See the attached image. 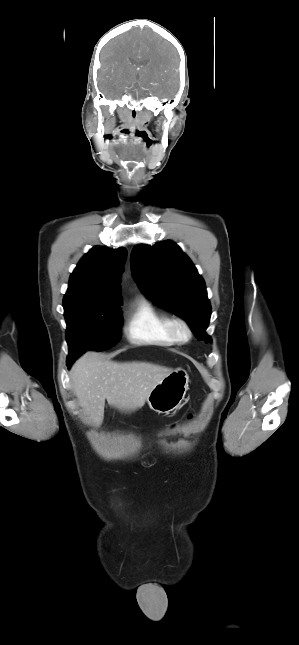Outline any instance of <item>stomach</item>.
Here are the masks:
<instances>
[{"instance_id": "1", "label": "stomach", "mask_w": 299, "mask_h": 645, "mask_svg": "<svg viewBox=\"0 0 299 645\" xmlns=\"http://www.w3.org/2000/svg\"><path fill=\"white\" fill-rule=\"evenodd\" d=\"M188 383L189 375L184 369L173 370L151 390L146 399L149 407L158 413L174 411L184 400Z\"/></svg>"}]
</instances>
